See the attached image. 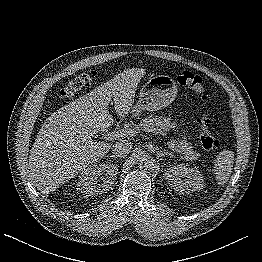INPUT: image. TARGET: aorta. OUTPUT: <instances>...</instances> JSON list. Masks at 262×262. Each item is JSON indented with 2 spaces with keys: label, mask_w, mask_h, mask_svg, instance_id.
<instances>
[{
  "label": "aorta",
  "mask_w": 262,
  "mask_h": 262,
  "mask_svg": "<svg viewBox=\"0 0 262 262\" xmlns=\"http://www.w3.org/2000/svg\"><path fill=\"white\" fill-rule=\"evenodd\" d=\"M137 157H138L139 161L141 162V164H143V162L145 164L150 163V161L148 160L149 159L148 156L145 155L144 153H138Z\"/></svg>",
  "instance_id": "aorta-1"
}]
</instances>
